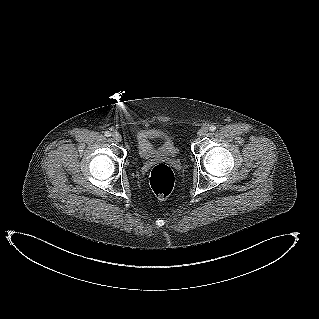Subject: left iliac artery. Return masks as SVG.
<instances>
[{
	"mask_svg": "<svg viewBox=\"0 0 319 319\" xmlns=\"http://www.w3.org/2000/svg\"><path fill=\"white\" fill-rule=\"evenodd\" d=\"M209 130L212 131V132L215 131V130H216V126L211 125V126L209 127Z\"/></svg>",
	"mask_w": 319,
	"mask_h": 319,
	"instance_id": "44dca946",
	"label": "left iliac artery"
}]
</instances>
